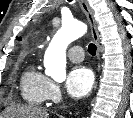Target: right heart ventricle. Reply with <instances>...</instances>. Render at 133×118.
<instances>
[{
	"instance_id": "right-heart-ventricle-1",
	"label": "right heart ventricle",
	"mask_w": 133,
	"mask_h": 118,
	"mask_svg": "<svg viewBox=\"0 0 133 118\" xmlns=\"http://www.w3.org/2000/svg\"><path fill=\"white\" fill-rule=\"evenodd\" d=\"M49 79L39 72L34 65L28 66L20 79V93L23 100L39 106L47 100V84Z\"/></svg>"
}]
</instances>
